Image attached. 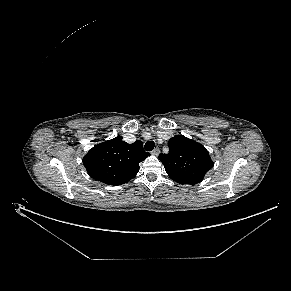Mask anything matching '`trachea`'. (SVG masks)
Here are the masks:
<instances>
[{"instance_id": "3493384b", "label": "trachea", "mask_w": 291, "mask_h": 291, "mask_svg": "<svg viewBox=\"0 0 291 291\" xmlns=\"http://www.w3.org/2000/svg\"><path fill=\"white\" fill-rule=\"evenodd\" d=\"M154 147H155L154 141H147L144 146L146 151H152Z\"/></svg>"}]
</instances>
